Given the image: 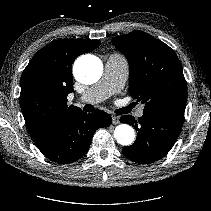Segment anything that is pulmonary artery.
Returning <instances> with one entry per match:
<instances>
[{
    "label": "pulmonary artery",
    "instance_id": "1",
    "mask_svg": "<svg viewBox=\"0 0 211 211\" xmlns=\"http://www.w3.org/2000/svg\"><path fill=\"white\" fill-rule=\"evenodd\" d=\"M128 76V64L125 58L119 54H111L106 62L102 81L95 87L84 93L80 100L87 102L90 98L93 102H101L118 92L124 85ZM137 117L143 116V109L136 112Z\"/></svg>",
    "mask_w": 211,
    "mask_h": 211
}]
</instances>
